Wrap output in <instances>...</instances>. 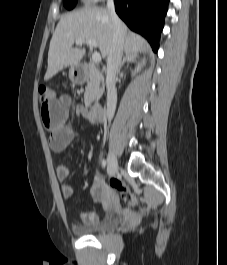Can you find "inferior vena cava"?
<instances>
[{
  "mask_svg": "<svg viewBox=\"0 0 227 265\" xmlns=\"http://www.w3.org/2000/svg\"><path fill=\"white\" fill-rule=\"evenodd\" d=\"M107 10L110 13V17L113 23V38L112 46L107 58V75H106V87H107V117L111 120L114 116L117 92L115 87L116 73L121 63L123 54L124 37L121 28V21L115 12V5L113 0H107Z\"/></svg>",
  "mask_w": 227,
  "mask_h": 265,
  "instance_id": "inferior-vena-cava-1",
  "label": "inferior vena cava"
}]
</instances>
